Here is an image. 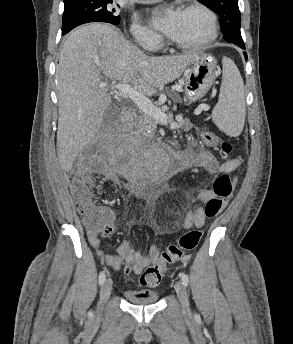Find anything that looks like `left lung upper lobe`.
Masks as SVG:
<instances>
[{
    "label": "left lung upper lobe",
    "instance_id": "1",
    "mask_svg": "<svg viewBox=\"0 0 293 344\" xmlns=\"http://www.w3.org/2000/svg\"><path fill=\"white\" fill-rule=\"evenodd\" d=\"M215 11L221 18L224 39L230 43L244 45L240 33V11L238 0H198Z\"/></svg>",
    "mask_w": 293,
    "mask_h": 344
}]
</instances>
